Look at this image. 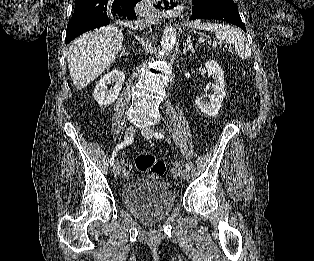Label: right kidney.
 Segmentation results:
<instances>
[{
    "label": "right kidney",
    "mask_w": 314,
    "mask_h": 261,
    "mask_svg": "<svg viewBox=\"0 0 314 261\" xmlns=\"http://www.w3.org/2000/svg\"><path fill=\"white\" fill-rule=\"evenodd\" d=\"M125 81L122 71L112 70L104 75L94 89V100L101 106L110 105L118 98ZM108 89L107 85H113Z\"/></svg>",
    "instance_id": "ca27d5eb"
}]
</instances>
